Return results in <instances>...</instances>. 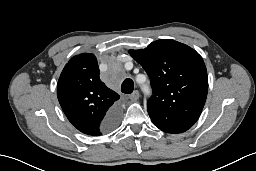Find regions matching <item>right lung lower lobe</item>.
Wrapping results in <instances>:
<instances>
[{
	"label": "right lung lower lobe",
	"instance_id": "1",
	"mask_svg": "<svg viewBox=\"0 0 256 171\" xmlns=\"http://www.w3.org/2000/svg\"><path fill=\"white\" fill-rule=\"evenodd\" d=\"M119 116H120V109L118 106H115L109 111L108 115L106 116L103 122L104 129L109 131L115 128L116 125L118 124Z\"/></svg>",
	"mask_w": 256,
	"mask_h": 171
}]
</instances>
